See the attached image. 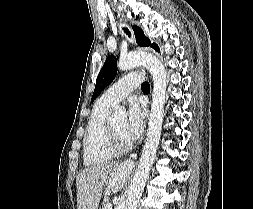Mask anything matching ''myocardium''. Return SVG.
<instances>
[{
  "mask_svg": "<svg viewBox=\"0 0 253 209\" xmlns=\"http://www.w3.org/2000/svg\"><path fill=\"white\" fill-rule=\"evenodd\" d=\"M107 138L108 145L111 151H113L116 155L124 154L132 149V144H123L117 138L111 123L107 124Z\"/></svg>",
  "mask_w": 253,
  "mask_h": 209,
  "instance_id": "myocardium-1",
  "label": "myocardium"
}]
</instances>
